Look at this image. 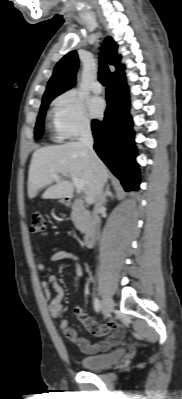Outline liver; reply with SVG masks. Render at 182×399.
Masks as SVG:
<instances>
[{"label": "liver", "instance_id": "1", "mask_svg": "<svg viewBox=\"0 0 182 399\" xmlns=\"http://www.w3.org/2000/svg\"><path fill=\"white\" fill-rule=\"evenodd\" d=\"M55 174L77 177L85 184V201L95 202V186L98 174L104 182L109 172L104 163L97 157L93 159L80 142H69L63 145L42 147L32 155L28 175V197L37 196L45 186L51 184ZM56 184L49 187L42 195L44 199H60L73 194L74 186L68 180H55Z\"/></svg>", "mask_w": 182, "mask_h": 399}]
</instances>
